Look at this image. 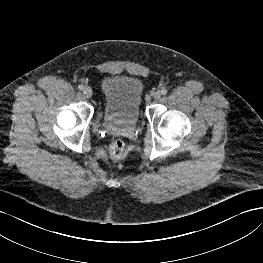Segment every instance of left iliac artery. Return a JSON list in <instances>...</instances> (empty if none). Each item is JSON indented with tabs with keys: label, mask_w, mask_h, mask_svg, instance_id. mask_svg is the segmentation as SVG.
<instances>
[{
	"label": "left iliac artery",
	"mask_w": 263,
	"mask_h": 263,
	"mask_svg": "<svg viewBox=\"0 0 263 263\" xmlns=\"http://www.w3.org/2000/svg\"><path fill=\"white\" fill-rule=\"evenodd\" d=\"M167 89H162V91H161V93L163 94V95H166L167 94Z\"/></svg>",
	"instance_id": "44dca946"
}]
</instances>
